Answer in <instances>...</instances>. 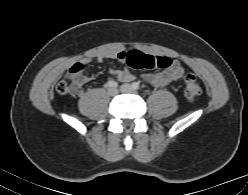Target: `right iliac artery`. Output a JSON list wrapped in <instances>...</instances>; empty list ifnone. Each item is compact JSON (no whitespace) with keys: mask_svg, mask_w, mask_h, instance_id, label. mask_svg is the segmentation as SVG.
Masks as SVG:
<instances>
[{"mask_svg":"<svg viewBox=\"0 0 248 195\" xmlns=\"http://www.w3.org/2000/svg\"><path fill=\"white\" fill-rule=\"evenodd\" d=\"M117 82L113 81V80H110L107 82V86L108 87H117Z\"/></svg>","mask_w":248,"mask_h":195,"instance_id":"1","label":"right iliac artery"}]
</instances>
